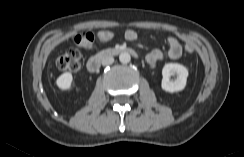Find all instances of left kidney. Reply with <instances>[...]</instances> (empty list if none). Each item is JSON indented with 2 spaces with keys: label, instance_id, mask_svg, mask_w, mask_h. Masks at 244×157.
Listing matches in <instances>:
<instances>
[{
  "label": "left kidney",
  "instance_id": "left-kidney-1",
  "mask_svg": "<svg viewBox=\"0 0 244 157\" xmlns=\"http://www.w3.org/2000/svg\"><path fill=\"white\" fill-rule=\"evenodd\" d=\"M175 80H171V76H175ZM161 87L166 92L182 91L187 83L188 70L179 63H167L162 69Z\"/></svg>",
  "mask_w": 244,
  "mask_h": 157
}]
</instances>
